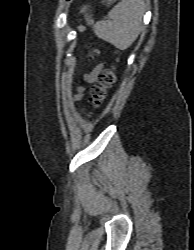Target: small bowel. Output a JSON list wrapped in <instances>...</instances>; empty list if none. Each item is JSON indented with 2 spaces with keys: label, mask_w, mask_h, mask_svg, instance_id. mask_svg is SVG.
<instances>
[{
  "label": "small bowel",
  "mask_w": 194,
  "mask_h": 250,
  "mask_svg": "<svg viewBox=\"0 0 194 250\" xmlns=\"http://www.w3.org/2000/svg\"><path fill=\"white\" fill-rule=\"evenodd\" d=\"M101 69H102V65H99L91 74L87 76V80L89 82H94L97 78L98 73L101 71ZM81 95L82 93H80V96Z\"/></svg>",
  "instance_id": "obj_1"
}]
</instances>
